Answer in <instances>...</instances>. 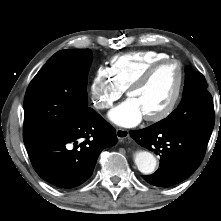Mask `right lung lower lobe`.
Masks as SVG:
<instances>
[{"label": "right lung lower lobe", "mask_w": 221, "mask_h": 221, "mask_svg": "<svg viewBox=\"0 0 221 221\" xmlns=\"http://www.w3.org/2000/svg\"><path fill=\"white\" fill-rule=\"evenodd\" d=\"M23 139L37 174L65 189L88 180L100 152L117 143L115 129L92 108L70 128L35 133Z\"/></svg>", "instance_id": "98d812e1"}]
</instances>
